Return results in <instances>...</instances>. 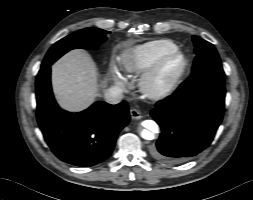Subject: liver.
I'll return each instance as SVG.
<instances>
[{
    "label": "liver",
    "instance_id": "6515ba94",
    "mask_svg": "<svg viewBox=\"0 0 253 200\" xmlns=\"http://www.w3.org/2000/svg\"><path fill=\"white\" fill-rule=\"evenodd\" d=\"M52 87L59 105L78 112L99 96L96 66L83 50H72L52 66Z\"/></svg>",
    "mask_w": 253,
    "mask_h": 200
}]
</instances>
